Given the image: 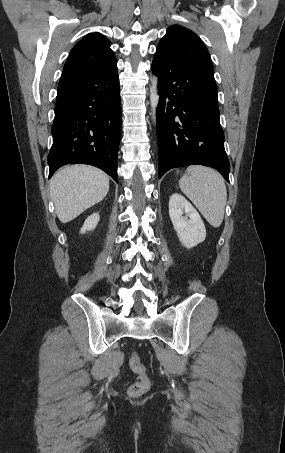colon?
<instances>
[{
  "label": "colon",
  "instance_id": "1",
  "mask_svg": "<svg viewBox=\"0 0 285 453\" xmlns=\"http://www.w3.org/2000/svg\"><path fill=\"white\" fill-rule=\"evenodd\" d=\"M129 366L131 370L139 376V380L129 387V394L132 397L141 396L150 388V379L147 376L146 367L137 353L131 354Z\"/></svg>",
  "mask_w": 285,
  "mask_h": 453
}]
</instances>
